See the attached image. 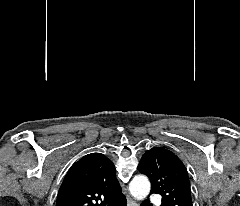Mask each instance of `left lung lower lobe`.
Returning <instances> with one entry per match:
<instances>
[{
	"instance_id": "0a47b994",
	"label": "left lung lower lobe",
	"mask_w": 240,
	"mask_h": 206,
	"mask_svg": "<svg viewBox=\"0 0 240 206\" xmlns=\"http://www.w3.org/2000/svg\"><path fill=\"white\" fill-rule=\"evenodd\" d=\"M142 206H151V204L149 202H144Z\"/></svg>"
}]
</instances>
